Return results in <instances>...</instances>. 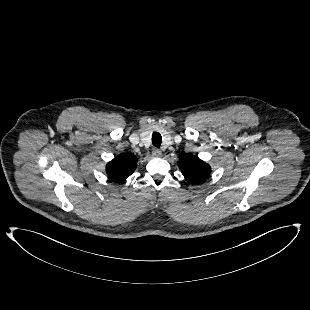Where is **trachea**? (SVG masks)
<instances>
[{
    "label": "trachea",
    "instance_id": "trachea-1",
    "mask_svg": "<svg viewBox=\"0 0 310 310\" xmlns=\"http://www.w3.org/2000/svg\"><path fill=\"white\" fill-rule=\"evenodd\" d=\"M162 143V136L158 133V132H154L152 134V144L159 148L161 146Z\"/></svg>",
    "mask_w": 310,
    "mask_h": 310
}]
</instances>
